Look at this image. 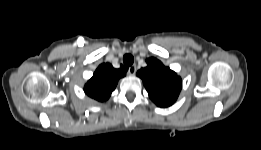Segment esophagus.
Wrapping results in <instances>:
<instances>
[{"mask_svg":"<svg viewBox=\"0 0 261 150\" xmlns=\"http://www.w3.org/2000/svg\"><path fill=\"white\" fill-rule=\"evenodd\" d=\"M136 66L135 65H132V66H130L129 68H128V73L130 74V75H134L135 73H136Z\"/></svg>","mask_w":261,"mask_h":150,"instance_id":"1","label":"esophagus"}]
</instances>
